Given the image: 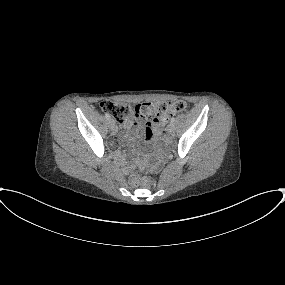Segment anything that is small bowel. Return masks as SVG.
I'll return each mask as SVG.
<instances>
[{"label":"small bowel","instance_id":"obj_1","mask_svg":"<svg viewBox=\"0 0 285 285\" xmlns=\"http://www.w3.org/2000/svg\"><path fill=\"white\" fill-rule=\"evenodd\" d=\"M129 126V132L134 133L135 136H140L143 132H145L148 136H153L160 130L159 125L156 122H147L145 124H142L140 122L131 121ZM122 136L126 139L131 138V135L129 133H122ZM114 146V140L110 139L107 143V148L109 150H113Z\"/></svg>","mask_w":285,"mask_h":285}]
</instances>
